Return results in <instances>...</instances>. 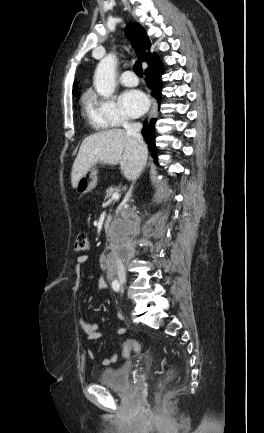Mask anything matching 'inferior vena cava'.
Instances as JSON below:
<instances>
[{"label":"inferior vena cava","mask_w":264,"mask_h":433,"mask_svg":"<svg viewBox=\"0 0 264 433\" xmlns=\"http://www.w3.org/2000/svg\"><path fill=\"white\" fill-rule=\"evenodd\" d=\"M123 127L126 129V132L128 135H131L135 141L138 144V149L140 150L141 153H143L146 150V144L143 141V137L141 135V129H142V124L140 122L137 123H129L128 121H124L123 123ZM136 178H133L132 180H134ZM132 188L133 186L130 187L127 197L130 196L131 192H132ZM117 264V274L118 277L120 279H125L126 278V270L124 267V264L122 263L121 260H117L116 262Z\"/></svg>","instance_id":"obj_1"}]
</instances>
